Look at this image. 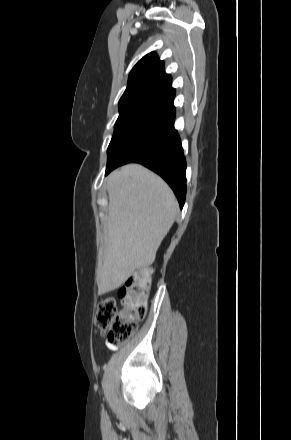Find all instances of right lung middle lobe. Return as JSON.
<instances>
[{
  "label": "right lung middle lobe",
  "mask_w": 291,
  "mask_h": 440,
  "mask_svg": "<svg viewBox=\"0 0 291 440\" xmlns=\"http://www.w3.org/2000/svg\"><path fill=\"white\" fill-rule=\"evenodd\" d=\"M152 100H135L119 104V117L114 126V133L107 149V167L112 158L143 118Z\"/></svg>",
  "instance_id": "right-lung-middle-lobe-1"
}]
</instances>
